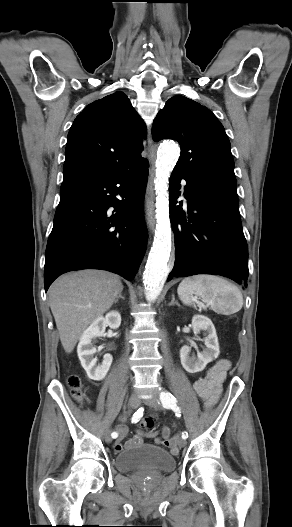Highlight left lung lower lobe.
<instances>
[{"instance_id":"obj_1","label":"left lung lower lobe","mask_w":292,"mask_h":527,"mask_svg":"<svg viewBox=\"0 0 292 527\" xmlns=\"http://www.w3.org/2000/svg\"><path fill=\"white\" fill-rule=\"evenodd\" d=\"M182 177L172 172L169 184L170 219L175 234L173 276L222 275L242 283L248 278V250L237 193L187 182L188 215L176 206ZM184 179V178H183ZM247 286L246 282H244Z\"/></svg>"}]
</instances>
